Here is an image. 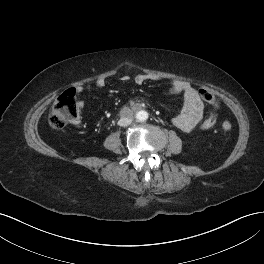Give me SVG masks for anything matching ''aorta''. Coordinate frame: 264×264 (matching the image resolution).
I'll return each mask as SVG.
<instances>
[{"instance_id":"762f6f07","label":"aorta","mask_w":264,"mask_h":264,"mask_svg":"<svg viewBox=\"0 0 264 264\" xmlns=\"http://www.w3.org/2000/svg\"><path fill=\"white\" fill-rule=\"evenodd\" d=\"M148 112L145 110H140L135 114V118L139 121V122H144L148 119Z\"/></svg>"}]
</instances>
